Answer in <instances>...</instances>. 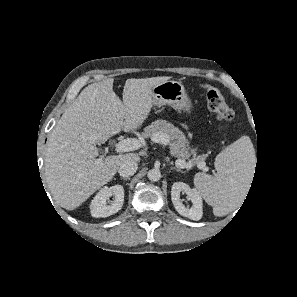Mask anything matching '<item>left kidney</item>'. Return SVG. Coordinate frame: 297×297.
I'll list each match as a JSON object with an SVG mask.
<instances>
[{"mask_svg":"<svg viewBox=\"0 0 297 297\" xmlns=\"http://www.w3.org/2000/svg\"><path fill=\"white\" fill-rule=\"evenodd\" d=\"M185 193L189 200L192 202V207H185L180 199V193ZM171 200L176 211L189 219L200 220L203 215V203L200 192L195 188L183 182H176L172 185Z\"/></svg>","mask_w":297,"mask_h":297,"instance_id":"left-kidney-1","label":"left kidney"}]
</instances>
